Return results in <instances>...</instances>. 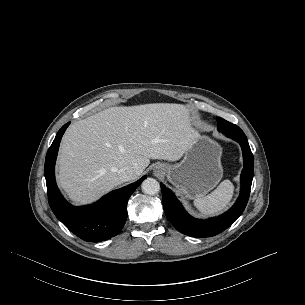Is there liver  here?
Segmentation results:
<instances>
[{
  "label": "liver",
  "instance_id": "liver-1",
  "mask_svg": "<svg viewBox=\"0 0 305 305\" xmlns=\"http://www.w3.org/2000/svg\"><path fill=\"white\" fill-rule=\"evenodd\" d=\"M197 137L184 105L110 107L67 129L57 181L73 202L89 203L123 183L121 168L132 167L134 181L151 159L179 160Z\"/></svg>",
  "mask_w": 305,
  "mask_h": 305
}]
</instances>
